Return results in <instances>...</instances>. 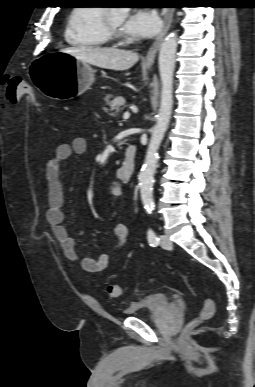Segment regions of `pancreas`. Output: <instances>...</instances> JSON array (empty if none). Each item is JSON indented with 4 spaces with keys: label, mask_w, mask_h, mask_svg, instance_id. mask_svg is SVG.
I'll use <instances>...</instances> for the list:
<instances>
[{
    "label": "pancreas",
    "mask_w": 255,
    "mask_h": 387,
    "mask_svg": "<svg viewBox=\"0 0 255 387\" xmlns=\"http://www.w3.org/2000/svg\"><path fill=\"white\" fill-rule=\"evenodd\" d=\"M106 103L107 105H109L110 111L114 116L118 115V113L126 106L125 99L121 96H118L113 100H110L109 98H107Z\"/></svg>",
    "instance_id": "cf45deb5"
}]
</instances>
